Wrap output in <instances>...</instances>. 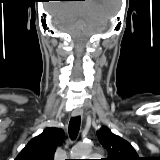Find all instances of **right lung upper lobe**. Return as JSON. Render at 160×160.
<instances>
[{"label":"right lung upper lobe","mask_w":160,"mask_h":160,"mask_svg":"<svg viewBox=\"0 0 160 160\" xmlns=\"http://www.w3.org/2000/svg\"><path fill=\"white\" fill-rule=\"evenodd\" d=\"M64 132L58 128H46L31 139L15 160H53L56 147L61 145Z\"/></svg>","instance_id":"obj_1"}]
</instances>
